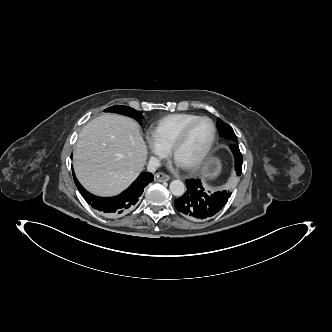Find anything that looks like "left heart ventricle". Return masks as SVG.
Wrapping results in <instances>:
<instances>
[{"instance_id":"1","label":"left heart ventricle","mask_w":332,"mask_h":332,"mask_svg":"<svg viewBox=\"0 0 332 332\" xmlns=\"http://www.w3.org/2000/svg\"><path fill=\"white\" fill-rule=\"evenodd\" d=\"M212 136V127L208 121L196 123L189 131L185 141L178 148L175 160L186 167L193 163L206 149Z\"/></svg>"}]
</instances>
